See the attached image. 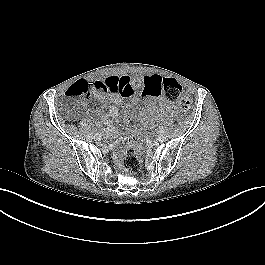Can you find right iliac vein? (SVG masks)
I'll return each mask as SVG.
<instances>
[{
  "mask_svg": "<svg viewBox=\"0 0 265 265\" xmlns=\"http://www.w3.org/2000/svg\"><path fill=\"white\" fill-rule=\"evenodd\" d=\"M94 139H95L96 141H100V140H101V136H100L99 134H96V135L94 136Z\"/></svg>",
  "mask_w": 265,
  "mask_h": 265,
  "instance_id": "63e3f726",
  "label": "right iliac vein"
}]
</instances>
